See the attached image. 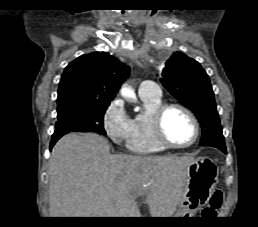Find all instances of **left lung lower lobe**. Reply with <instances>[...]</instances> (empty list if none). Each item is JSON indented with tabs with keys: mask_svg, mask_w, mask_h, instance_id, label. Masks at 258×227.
Listing matches in <instances>:
<instances>
[{
	"mask_svg": "<svg viewBox=\"0 0 258 227\" xmlns=\"http://www.w3.org/2000/svg\"><path fill=\"white\" fill-rule=\"evenodd\" d=\"M217 148L220 149L223 153H226L225 147H217Z\"/></svg>",
	"mask_w": 258,
	"mask_h": 227,
	"instance_id": "obj_1",
	"label": "left lung lower lobe"
}]
</instances>
